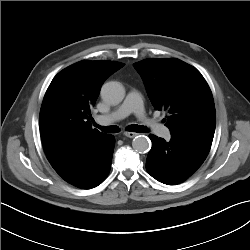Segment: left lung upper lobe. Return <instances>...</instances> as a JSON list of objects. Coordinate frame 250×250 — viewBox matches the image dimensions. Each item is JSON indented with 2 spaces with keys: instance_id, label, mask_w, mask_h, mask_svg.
I'll use <instances>...</instances> for the list:
<instances>
[{
  "instance_id": "obj_1",
  "label": "left lung upper lobe",
  "mask_w": 250,
  "mask_h": 250,
  "mask_svg": "<svg viewBox=\"0 0 250 250\" xmlns=\"http://www.w3.org/2000/svg\"><path fill=\"white\" fill-rule=\"evenodd\" d=\"M156 110L166 111L171 135L213 138L216 126L211 90L193 66L174 58L133 64Z\"/></svg>"
}]
</instances>
